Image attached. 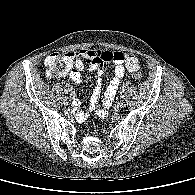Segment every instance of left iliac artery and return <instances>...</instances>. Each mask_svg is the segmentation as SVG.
Masks as SVG:
<instances>
[{
  "label": "left iliac artery",
  "mask_w": 195,
  "mask_h": 195,
  "mask_svg": "<svg viewBox=\"0 0 195 195\" xmlns=\"http://www.w3.org/2000/svg\"><path fill=\"white\" fill-rule=\"evenodd\" d=\"M124 95H121V98L123 99Z\"/></svg>",
  "instance_id": "obj_1"
}]
</instances>
